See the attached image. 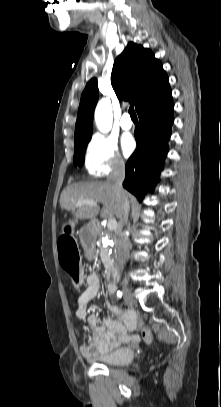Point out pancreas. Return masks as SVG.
I'll use <instances>...</instances> for the list:
<instances>
[{
	"label": "pancreas",
	"mask_w": 221,
	"mask_h": 407,
	"mask_svg": "<svg viewBox=\"0 0 221 407\" xmlns=\"http://www.w3.org/2000/svg\"><path fill=\"white\" fill-rule=\"evenodd\" d=\"M102 236H107L108 238H111L112 231L107 230L104 234H102ZM99 250H100V257H101L102 262L104 263V266L106 267V269L110 268L112 265V257L108 253L109 249H103L101 246H99Z\"/></svg>",
	"instance_id": "pancreas-1"
}]
</instances>
